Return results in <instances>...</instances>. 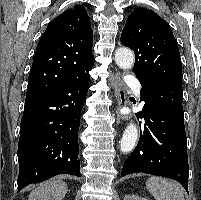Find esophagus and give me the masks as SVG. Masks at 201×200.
Returning a JSON list of instances; mask_svg holds the SVG:
<instances>
[{
    "label": "esophagus",
    "instance_id": "esophagus-1",
    "mask_svg": "<svg viewBox=\"0 0 201 200\" xmlns=\"http://www.w3.org/2000/svg\"><path fill=\"white\" fill-rule=\"evenodd\" d=\"M112 84L115 89V112L117 114L118 119L126 121L129 119V117L120 112V109L127 104V95L124 83L119 72L115 73V75L113 76Z\"/></svg>",
    "mask_w": 201,
    "mask_h": 200
}]
</instances>
